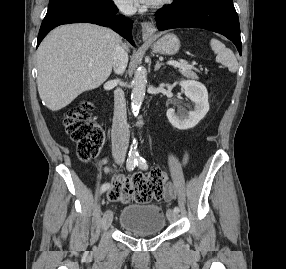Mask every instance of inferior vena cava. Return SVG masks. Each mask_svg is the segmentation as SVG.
Here are the masks:
<instances>
[{
	"instance_id": "602c4592",
	"label": "inferior vena cava",
	"mask_w": 286,
	"mask_h": 269,
	"mask_svg": "<svg viewBox=\"0 0 286 269\" xmlns=\"http://www.w3.org/2000/svg\"><path fill=\"white\" fill-rule=\"evenodd\" d=\"M119 10L125 15L135 13V8L128 3H119ZM128 63V54L126 47L118 46L113 57V69L118 75L123 74ZM119 80H115L117 83ZM112 153L118 162L125 160L126 152L129 144V130L127 127L126 102L124 92L117 88L114 91V117L112 125Z\"/></svg>"
}]
</instances>
